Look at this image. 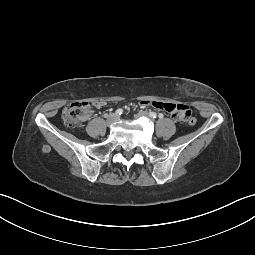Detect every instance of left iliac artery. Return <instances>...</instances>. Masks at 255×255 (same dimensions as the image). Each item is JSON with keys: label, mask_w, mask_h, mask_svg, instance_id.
<instances>
[{"label": "left iliac artery", "mask_w": 255, "mask_h": 255, "mask_svg": "<svg viewBox=\"0 0 255 255\" xmlns=\"http://www.w3.org/2000/svg\"><path fill=\"white\" fill-rule=\"evenodd\" d=\"M149 115L154 119L157 117V114L155 112H149Z\"/></svg>", "instance_id": "obj_1"}]
</instances>
